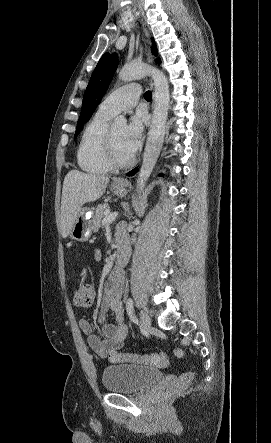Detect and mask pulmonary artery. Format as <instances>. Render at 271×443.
<instances>
[{
	"label": "pulmonary artery",
	"instance_id": "e3ab8cb5",
	"mask_svg": "<svg viewBox=\"0 0 271 443\" xmlns=\"http://www.w3.org/2000/svg\"><path fill=\"white\" fill-rule=\"evenodd\" d=\"M141 93L138 84H129L120 87L108 94L98 107V111L109 116L131 109L137 105Z\"/></svg>",
	"mask_w": 271,
	"mask_h": 443
}]
</instances>
